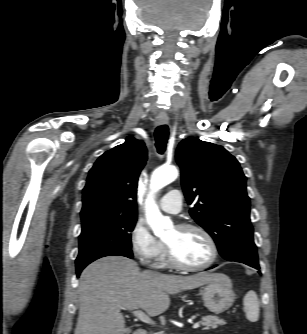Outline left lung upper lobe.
I'll return each instance as SVG.
<instances>
[{"instance_id": "left-lung-upper-lobe-1", "label": "left lung upper lobe", "mask_w": 307, "mask_h": 334, "mask_svg": "<svg viewBox=\"0 0 307 334\" xmlns=\"http://www.w3.org/2000/svg\"><path fill=\"white\" fill-rule=\"evenodd\" d=\"M182 187L192 218L214 239L223 258L239 242H254L246 177L239 162L222 146L183 139L176 152Z\"/></svg>"}]
</instances>
